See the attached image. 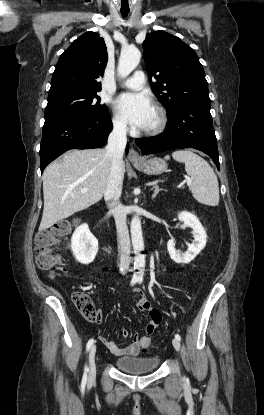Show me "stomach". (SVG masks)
Wrapping results in <instances>:
<instances>
[{
	"instance_id": "0dacf381",
	"label": "stomach",
	"mask_w": 264,
	"mask_h": 415,
	"mask_svg": "<svg viewBox=\"0 0 264 415\" xmlns=\"http://www.w3.org/2000/svg\"><path fill=\"white\" fill-rule=\"evenodd\" d=\"M134 166L148 175H158L162 174L167 170V163L161 158L154 157L146 159L141 163H134Z\"/></svg>"
}]
</instances>
